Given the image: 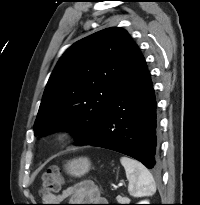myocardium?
I'll list each match as a JSON object with an SVG mask.
<instances>
[{
  "label": "myocardium",
  "mask_w": 200,
  "mask_h": 205,
  "mask_svg": "<svg viewBox=\"0 0 200 205\" xmlns=\"http://www.w3.org/2000/svg\"><path fill=\"white\" fill-rule=\"evenodd\" d=\"M72 134H73V129L68 124L62 125L57 131V137L60 140H67L72 136Z\"/></svg>",
  "instance_id": "f54148a6"
}]
</instances>
